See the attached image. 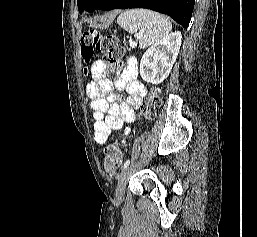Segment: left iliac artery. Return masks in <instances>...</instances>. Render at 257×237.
<instances>
[{
	"instance_id": "44dca946",
	"label": "left iliac artery",
	"mask_w": 257,
	"mask_h": 237,
	"mask_svg": "<svg viewBox=\"0 0 257 237\" xmlns=\"http://www.w3.org/2000/svg\"><path fill=\"white\" fill-rule=\"evenodd\" d=\"M129 164H130V160L128 159V160H126L125 163L123 164L122 169H123V170L126 169V168L129 166Z\"/></svg>"
}]
</instances>
